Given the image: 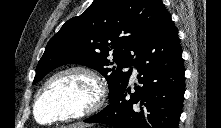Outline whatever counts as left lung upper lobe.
<instances>
[{
	"instance_id": "1",
	"label": "left lung upper lobe",
	"mask_w": 221,
	"mask_h": 128,
	"mask_svg": "<svg viewBox=\"0 0 221 128\" xmlns=\"http://www.w3.org/2000/svg\"><path fill=\"white\" fill-rule=\"evenodd\" d=\"M168 15L162 0H94L50 39L33 84L61 65H86L106 77L110 102L128 84L125 68Z\"/></svg>"
}]
</instances>
